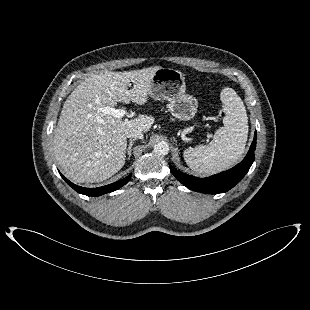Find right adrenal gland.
<instances>
[{"mask_svg":"<svg viewBox=\"0 0 310 310\" xmlns=\"http://www.w3.org/2000/svg\"><path fill=\"white\" fill-rule=\"evenodd\" d=\"M135 140H136V139H130V142H129V144H128V147H127V155H128L127 158H128V159H130V157H131L132 146H133Z\"/></svg>","mask_w":310,"mask_h":310,"instance_id":"obj_1","label":"right adrenal gland"}]
</instances>
